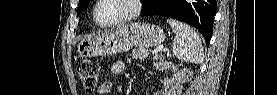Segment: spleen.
I'll list each match as a JSON object with an SVG mask.
<instances>
[{"label": "spleen", "instance_id": "spleen-1", "mask_svg": "<svg viewBox=\"0 0 277 95\" xmlns=\"http://www.w3.org/2000/svg\"><path fill=\"white\" fill-rule=\"evenodd\" d=\"M167 23L175 34L173 55L184 62L200 63L203 59V47L195 30L189 25L173 19H168Z\"/></svg>", "mask_w": 277, "mask_h": 95}]
</instances>
